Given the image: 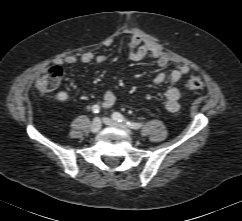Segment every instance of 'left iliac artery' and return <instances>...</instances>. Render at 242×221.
<instances>
[{"label": "left iliac artery", "instance_id": "44dca946", "mask_svg": "<svg viewBox=\"0 0 242 221\" xmlns=\"http://www.w3.org/2000/svg\"><path fill=\"white\" fill-rule=\"evenodd\" d=\"M112 118L118 122H123L125 123L129 128L131 129H139L142 124L141 123H137V122H131L129 120H127L126 118H124L123 115H121L120 113L118 112H114L112 114Z\"/></svg>", "mask_w": 242, "mask_h": 221}]
</instances>
